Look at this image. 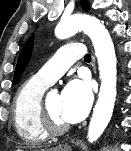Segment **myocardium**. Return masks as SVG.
Wrapping results in <instances>:
<instances>
[{
    "instance_id": "obj_1",
    "label": "myocardium",
    "mask_w": 131,
    "mask_h": 151,
    "mask_svg": "<svg viewBox=\"0 0 131 151\" xmlns=\"http://www.w3.org/2000/svg\"><path fill=\"white\" fill-rule=\"evenodd\" d=\"M48 96L42 98L41 101V118L45 130L49 135H61L70 128L68 124H61L55 120L48 107Z\"/></svg>"
}]
</instances>
